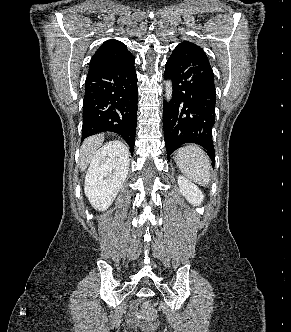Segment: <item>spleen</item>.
Masks as SVG:
<instances>
[{
	"mask_svg": "<svg viewBox=\"0 0 291 332\" xmlns=\"http://www.w3.org/2000/svg\"><path fill=\"white\" fill-rule=\"evenodd\" d=\"M175 162L189 180L206 186L210 183L211 162L199 146L189 144L175 153Z\"/></svg>",
	"mask_w": 291,
	"mask_h": 332,
	"instance_id": "1",
	"label": "spleen"
}]
</instances>
